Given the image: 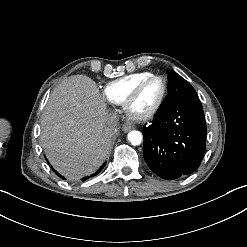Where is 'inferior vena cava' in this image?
I'll return each mask as SVG.
<instances>
[{"instance_id":"inferior-vena-cava-1","label":"inferior vena cava","mask_w":247,"mask_h":247,"mask_svg":"<svg viewBox=\"0 0 247 247\" xmlns=\"http://www.w3.org/2000/svg\"><path fill=\"white\" fill-rule=\"evenodd\" d=\"M108 125L110 126L114 135H117L119 130V115L116 112H110L107 117Z\"/></svg>"}]
</instances>
